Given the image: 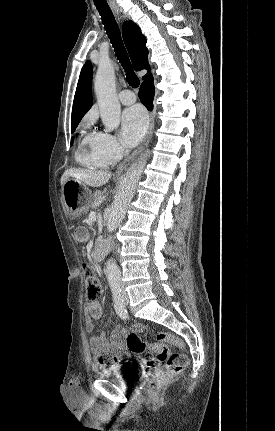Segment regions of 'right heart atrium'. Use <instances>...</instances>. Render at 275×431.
<instances>
[{
	"label": "right heart atrium",
	"mask_w": 275,
	"mask_h": 431,
	"mask_svg": "<svg viewBox=\"0 0 275 431\" xmlns=\"http://www.w3.org/2000/svg\"><path fill=\"white\" fill-rule=\"evenodd\" d=\"M92 145L99 156L111 163L117 161L123 154L116 137L108 132L94 133Z\"/></svg>",
	"instance_id": "right-heart-atrium-1"
}]
</instances>
